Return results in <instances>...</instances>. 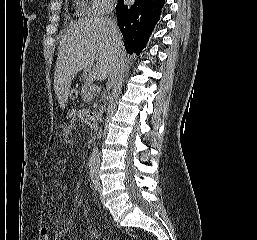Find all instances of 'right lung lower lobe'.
Wrapping results in <instances>:
<instances>
[{
  "mask_svg": "<svg viewBox=\"0 0 257 240\" xmlns=\"http://www.w3.org/2000/svg\"><path fill=\"white\" fill-rule=\"evenodd\" d=\"M164 3L165 0H135L134 4L127 5L124 0L118 1L117 20L128 52L139 54L145 47Z\"/></svg>",
  "mask_w": 257,
  "mask_h": 240,
  "instance_id": "98d812e1",
  "label": "right lung lower lobe"
}]
</instances>
